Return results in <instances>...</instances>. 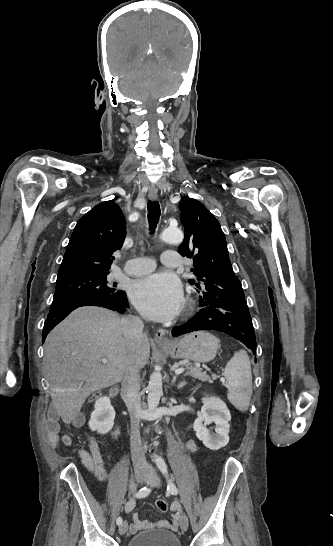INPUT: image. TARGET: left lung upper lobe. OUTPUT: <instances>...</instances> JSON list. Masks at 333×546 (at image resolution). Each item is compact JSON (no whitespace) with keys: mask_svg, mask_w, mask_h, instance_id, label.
<instances>
[{"mask_svg":"<svg viewBox=\"0 0 333 546\" xmlns=\"http://www.w3.org/2000/svg\"><path fill=\"white\" fill-rule=\"evenodd\" d=\"M179 207L185 238L178 252L193 258L191 271L197 279H190L201 296L222 301L245 299L241 282L235 276L224 233L218 220L199 201L182 198Z\"/></svg>","mask_w":333,"mask_h":546,"instance_id":"obj_1","label":"left lung upper lobe"}]
</instances>
